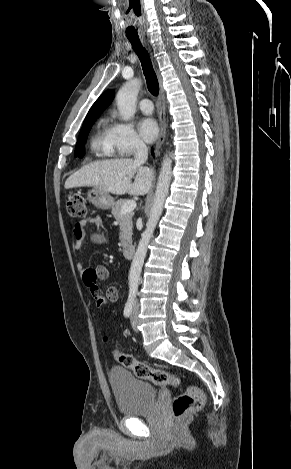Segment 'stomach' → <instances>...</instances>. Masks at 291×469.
Masks as SVG:
<instances>
[{
  "label": "stomach",
  "mask_w": 291,
  "mask_h": 469,
  "mask_svg": "<svg viewBox=\"0 0 291 469\" xmlns=\"http://www.w3.org/2000/svg\"><path fill=\"white\" fill-rule=\"evenodd\" d=\"M87 199L90 203L100 209H110L114 206V198L101 189L92 188L87 192Z\"/></svg>",
  "instance_id": "1"
}]
</instances>
